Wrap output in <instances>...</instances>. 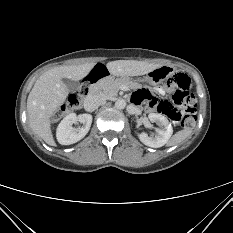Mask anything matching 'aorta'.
I'll list each match as a JSON object with an SVG mask.
<instances>
[{"label": "aorta", "instance_id": "aorta-1", "mask_svg": "<svg viewBox=\"0 0 233 233\" xmlns=\"http://www.w3.org/2000/svg\"><path fill=\"white\" fill-rule=\"evenodd\" d=\"M126 107V102L125 100L123 99H118L116 102H115V108L116 109H124Z\"/></svg>", "mask_w": 233, "mask_h": 233}]
</instances>
